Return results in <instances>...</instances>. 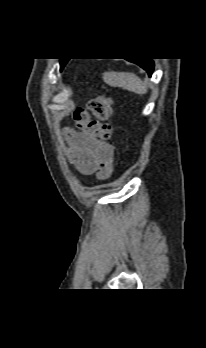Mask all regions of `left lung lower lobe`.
Here are the masks:
<instances>
[{
    "instance_id": "obj_1",
    "label": "left lung lower lobe",
    "mask_w": 206,
    "mask_h": 348,
    "mask_svg": "<svg viewBox=\"0 0 206 348\" xmlns=\"http://www.w3.org/2000/svg\"><path fill=\"white\" fill-rule=\"evenodd\" d=\"M133 63L138 64L140 67L145 69L148 72V75L151 76L153 69H154V63L151 59H139V60H129Z\"/></svg>"
}]
</instances>
